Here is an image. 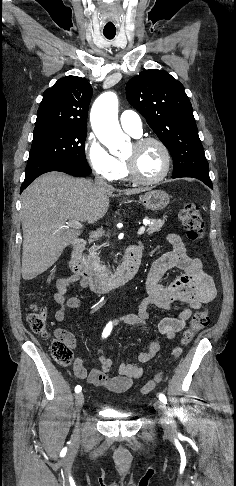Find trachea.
<instances>
[{
    "mask_svg": "<svg viewBox=\"0 0 236 486\" xmlns=\"http://www.w3.org/2000/svg\"><path fill=\"white\" fill-rule=\"evenodd\" d=\"M103 34L107 39H113L116 35V30H104Z\"/></svg>",
    "mask_w": 236,
    "mask_h": 486,
    "instance_id": "3493384b",
    "label": "trachea"
}]
</instances>
